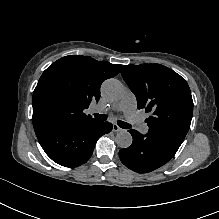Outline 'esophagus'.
<instances>
[{
	"label": "esophagus",
	"mask_w": 219,
	"mask_h": 219,
	"mask_svg": "<svg viewBox=\"0 0 219 219\" xmlns=\"http://www.w3.org/2000/svg\"><path fill=\"white\" fill-rule=\"evenodd\" d=\"M122 130L117 124H113V132H121Z\"/></svg>",
	"instance_id": "34e87169"
}]
</instances>
